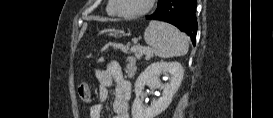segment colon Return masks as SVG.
<instances>
[{
  "instance_id": "obj_1",
  "label": "colon",
  "mask_w": 273,
  "mask_h": 118,
  "mask_svg": "<svg viewBox=\"0 0 273 118\" xmlns=\"http://www.w3.org/2000/svg\"><path fill=\"white\" fill-rule=\"evenodd\" d=\"M78 94H79V97L82 98V99L88 98V96H89V89H88L87 85L81 84L79 86V88H78Z\"/></svg>"
}]
</instances>
